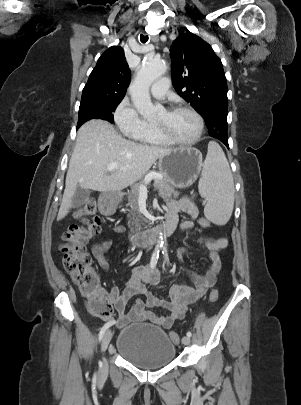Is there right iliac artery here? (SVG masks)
Wrapping results in <instances>:
<instances>
[{
  "instance_id": "1",
  "label": "right iliac artery",
  "mask_w": 301,
  "mask_h": 405,
  "mask_svg": "<svg viewBox=\"0 0 301 405\" xmlns=\"http://www.w3.org/2000/svg\"><path fill=\"white\" fill-rule=\"evenodd\" d=\"M159 252H160V248L156 247L153 254H152L151 261H150V267L151 268H154L156 266V263H157V260H158V257H159ZM113 324H115V321H110V322H107L106 324H104V326L100 329L99 341H101V339L103 338L106 330L110 326H112Z\"/></svg>"
}]
</instances>
